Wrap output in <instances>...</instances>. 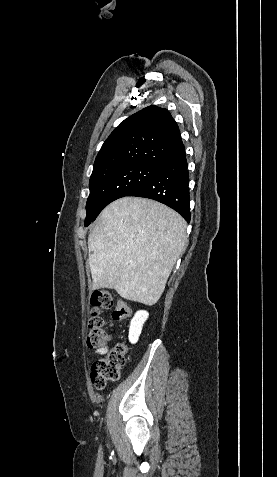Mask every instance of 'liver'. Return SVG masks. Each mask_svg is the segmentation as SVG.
I'll return each instance as SVG.
<instances>
[{
	"mask_svg": "<svg viewBox=\"0 0 277 477\" xmlns=\"http://www.w3.org/2000/svg\"><path fill=\"white\" fill-rule=\"evenodd\" d=\"M186 221L157 201L123 197L100 214L88 237L93 289L154 305L187 242Z\"/></svg>",
	"mask_w": 277,
	"mask_h": 477,
	"instance_id": "1",
	"label": "liver"
}]
</instances>
